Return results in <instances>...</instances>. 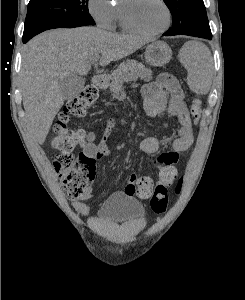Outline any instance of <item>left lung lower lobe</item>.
I'll return each mask as SVG.
<instances>
[{"label": "left lung lower lobe", "mask_w": 245, "mask_h": 300, "mask_svg": "<svg viewBox=\"0 0 245 300\" xmlns=\"http://www.w3.org/2000/svg\"><path fill=\"white\" fill-rule=\"evenodd\" d=\"M185 35H191V36H196V37H200V38H205V39H212V34L211 33H189V34H185ZM164 36H172V35H166L164 33Z\"/></svg>", "instance_id": "1"}]
</instances>
